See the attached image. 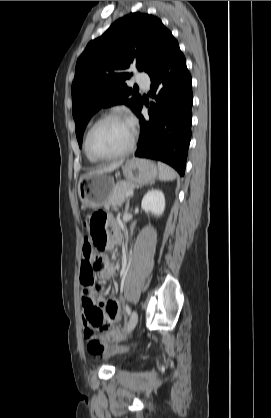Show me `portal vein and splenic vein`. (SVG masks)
<instances>
[{
    "label": "portal vein and splenic vein",
    "mask_w": 271,
    "mask_h": 418,
    "mask_svg": "<svg viewBox=\"0 0 271 418\" xmlns=\"http://www.w3.org/2000/svg\"><path fill=\"white\" fill-rule=\"evenodd\" d=\"M133 192H134L133 190H130V191H128V192L126 193V195H125V196H126V197H128V196L132 195V194H133Z\"/></svg>",
    "instance_id": "portal-vein-and-splenic-vein-1"
}]
</instances>
